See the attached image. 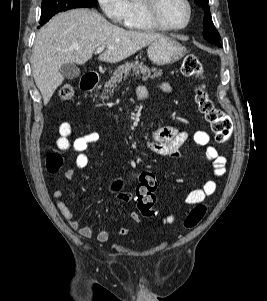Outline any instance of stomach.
Masks as SVG:
<instances>
[{"label": "stomach", "instance_id": "1", "mask_svg": "<svg viewBox=\"0 0 267 301\" xmlns=\"http://www.w3.org/2000/svg\"><path fill=\"white\" fill-rule=\"evenodd\" d=\"M186 52V48L181 43L168 37L155 40L147 49L149 59L157 65L174 63L180 60Z\"/></svg>", "mask_w": 267, "mask_h": 301}]
</instances>
